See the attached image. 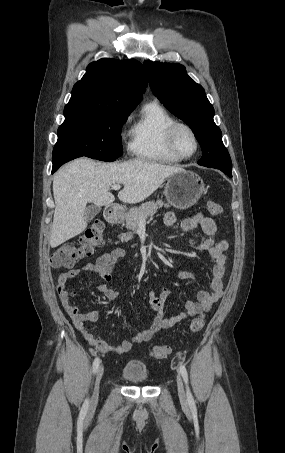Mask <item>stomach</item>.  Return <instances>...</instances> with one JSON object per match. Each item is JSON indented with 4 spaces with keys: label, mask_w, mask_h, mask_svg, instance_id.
<instances>
[{
    "label": "stomach",
    "mask_w": 285,
    "mask_h": 453,
    "mask_svg": "<svg viewBox=\"0 0 285 453\" xmlns=\"http://www.w3.org/2000/svg\"><path fill=\"white\" fill-rule=\"evenodd\" d=\"M204 191L205 184L198 174L181 170L168 177L164 196L175 208L186 209L194 205Z\"/></svg>",
    "instance_id": "stomach-1"
}]
</instances>
